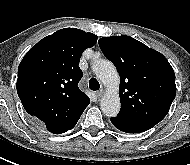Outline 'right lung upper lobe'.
I'll return each mask as SVG.
<instances>
[{"instance_id": "cb5924a9", "label": "right lung upper lobe", "mask_w": 190, "mask_h": 165, "mask_svg": "<svg viewBox=\"0 0 190 165\" xmlns=\"http://www.w3.org/2000/svg\"><path fill=\"white\" fill-rule=\"evenodd\" d=\"M98 37L76 28L56 31L39 41L18 67L17 93L25 110L47 130L72 129L90 103L78 88L82 52Z\"/></svg>"}]
</instances>
